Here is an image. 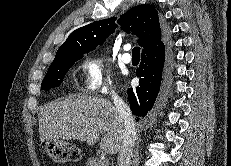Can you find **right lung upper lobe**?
<instances>
[{
    "label": "right lung upper lobe",
    "mask_w": 231,
    "mask_h": 166,
    "mask_svg": "<svg viewBox=\"0 0 231 166\" xmlns=\"http://www.w3.org/2000/svg\"><path fill=\"white\" fill-rule=\"evenodd\" d=\"M117 22L124 31L139 38L138 43L143 48L142 55L154 51L167 38V32L160 23L158 13L151 5L135 6ZM116 27V18L112 17L76 29L59 47L55 59L61 56H83L94 50L97 45H102Z\"/></svg>",
    "instance_id": "cb5924a9"
}]
</instances>
